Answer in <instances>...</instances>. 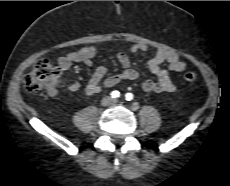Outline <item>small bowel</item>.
Returning <instances> with one entry per match:
<instances>
[{"instance_id":"c3829d8e","label":"small bowel","mask_w":230,"mask_h":186,"mask_svg":"<svg viewBox=\"0 0 230 186\" xmlns=\"http://www.w3.org/2000/svg\"><path fill=\"white\" fill-rule=\"evenodd\" d=\"M148 46L145 44H133L129 50L121 51L117 54V60L122 67V71L118 74L107 75V68L100 65L95 68L91 78L84 87V92L88 96L96 95L103 88H112L124 80H137L140 76L139 72L131 65L130 54L137 52H147ZM97 50L94 46H85L66 55L60 56L57 62L61 69L69 72L74 63L82 62L85 65L93 66V59ZM150 72L156 77V80H145L142 83V89L145 92H175L178 87L171 80L170 72H181L186 68V63L174 51L158 48L154 56L148 63ZM81 84L77 80H72L67 89L71 92L78 91Z\"/></svg>"}]
</instances>
